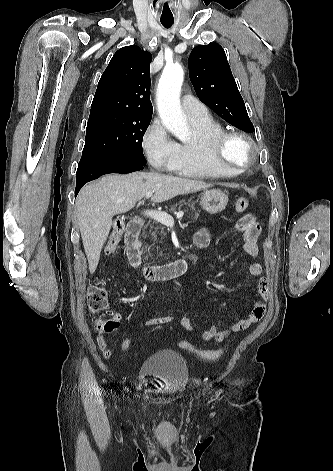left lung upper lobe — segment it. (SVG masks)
Wrapping results in <instances>:
<instances>
[{
	"label": "left lung upper lobe",
	"mask_w": 333,
	"mask_h": 471,
	"mask_svg": "<svg viewBox=\"0 0 333 471\" xmlns=\"http://www.w3.org/2000/svg\"><path fill=\"white\" fill-rule=\"evenodd\" d=\"M189 76L199 99L231 125L254 132L223 48L196 46L189 57Z\"/></svg>",
	"instance_id": "5c2ea615"
}]
</instances>
